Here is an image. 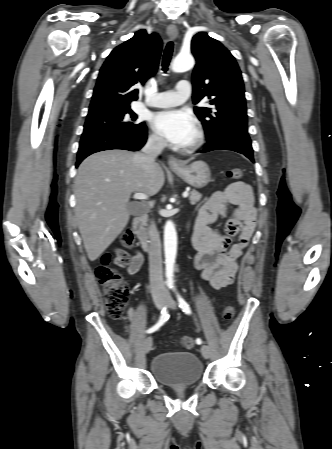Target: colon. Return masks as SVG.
Wrapping results in <instances>:
<instances>
[{
	"mask_svg": "<svg viewBox=\"0 0 332 449\" xmlns=\"http://www.w3.org/2000/svg\"><path fill=\"white\" fill-rule=\"evenodd\" d=\"M229 178L239 180L243 176L242 169L236 167L227 172ZM134 243L133 233L127 229L121 236V244L124 247H131ZM122 249L115 251L114 262L117 265L124 266L127 259ZM111 261L110 255H105L102 258L101 264L96 270V275L99 283L103 287V293L106 303V308L109 316L116 320H121L125 317L126 305L128 302L129 290L127 284L122 279L121 275L109 266ZM234 307L228 305L223 310V318L231 320L234 317ZM194 345V341L189 336H184L178 342V346L184 349H190Z\"/></svg>",
	"mask_w": 332,
	"mask_h": 449,
	"instance_id": "obj_1",
	"label": "colon"
}]
</instances>
